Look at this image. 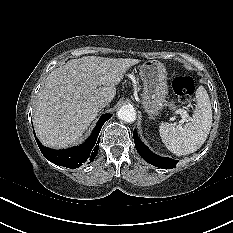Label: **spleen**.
I'll return each instance as SVG.
<instances>
[{
	"instance_id": "3e777b00",
	"label": "spleen",
	"mask_w": 233,
	"mask_h": 233,
	"mask_svg": "<svg viewBox=\"0 0 233 233\" xmlns=\"http://www.w3.org/2000/svg\"><path fill=\"white\" fill-rule=\"evenodd\" d=\"M212 126V108L203 86L196 91V108L191 121L184 126L162 122L159 133L168 150L177 156L191 154L206 141Z\"/></svg>"
}]
</instances>
